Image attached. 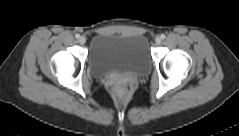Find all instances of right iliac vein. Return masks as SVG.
<instances>
[{"label": "right iliac vein", "instance_id": "right-iliac-vein-1", "mask_svg": "<svg viewBox=\"0 0 239 136\" xmlns=\"http://www.w3.org/2000/svg\"><path fill=\"white\" fill-rule=\"evenodd\" d=\"M79 43L80 44H85L86 43V37H84V36H81V37H79Z\"/></svg>", "mask_w": 239, "mask_h": 136}]
</instances>
